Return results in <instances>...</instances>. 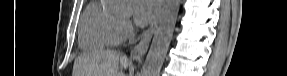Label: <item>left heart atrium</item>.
Instances as JSON below:
<instances>
[{
  "label": "left heart atrium",
  "instance_id": "obj_1",
  "mask_svg": "<svg viewBox=\"0 0 287 76\" xmlns=\"http://www.w3.org/2000/svg\"><path fill=\"white\" fill-rule=\"evenodd\" d=\"M133 17L137 24L146 25L156 15L157 3L155 0H132Z\"/></svg>",
  "mask_w": 287,
  "mask_h": 76
}]
</instances>
